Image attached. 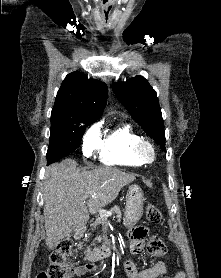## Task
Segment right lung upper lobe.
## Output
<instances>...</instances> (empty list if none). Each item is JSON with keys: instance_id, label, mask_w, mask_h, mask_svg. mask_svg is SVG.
Returning a JSON list of instances; mask_svg holds the SVG:
<instances>
[{"instance_id": "obj_1", "label": "right lung upper lobe", "mask_w": 221, "mask_h": 278, "mask_svg": "<svg viewBox=\"0 0 221 278\" xmlns=\"http://www.w3.org/2000/svg\"><path fill=\"white\" fill-rule=\"evenodd\" d=\"M107 86L98 80L88 79L82 72L68 74L63 81L52 109V117L94 123L103 113L107 103Z\"/></svg>"}]
</instances>
